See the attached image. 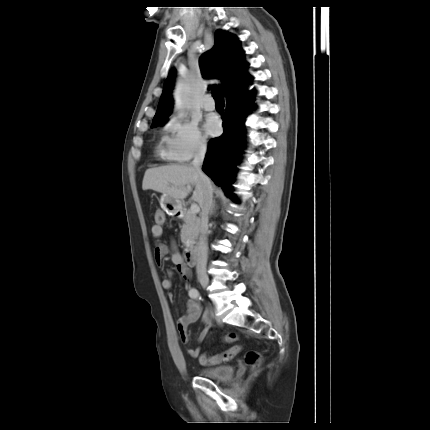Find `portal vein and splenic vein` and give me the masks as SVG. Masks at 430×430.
<instances>
[{
    "label": "portal vein and splenic vein",
    "instance_id": "obj_1",
    "mask_svg": "<svg viewBox=\"0 0 430 430\" xmlns=\"http://www.w3.org/2000/svg\"><path fill=\"white\" fill-rule=\"evenodd\" d=\"M187 189H188V190H190V189H191V187H190V186H188V187H187ZM190 211H191L193 214H197V213L200 211V208H199V206H198L197 204L193 203V204H191Z\"/></svg>",
    "mask_w": 430,
    "mask_h": 430
}]
</instances>
